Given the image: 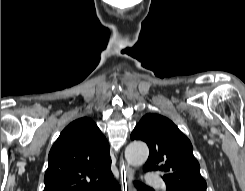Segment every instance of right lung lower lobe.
Wrapping results in <instances>:
<instances>
[{"label": "right lung lower lobe", "mask_w": 245, "mask_h": 191, "mask_svg": "<svg viewBox=\"0 0 245 191\" xmlns=\"http://www.w3.org/2000/svg\"><path fill=\"white\" fill-rule=\"evenodd\" d=\"M93 191H121V189L118 182L115 179H113L109 183L101 185Z\"/></svg>", "instance_id": "obj_1"}]
</instances>
